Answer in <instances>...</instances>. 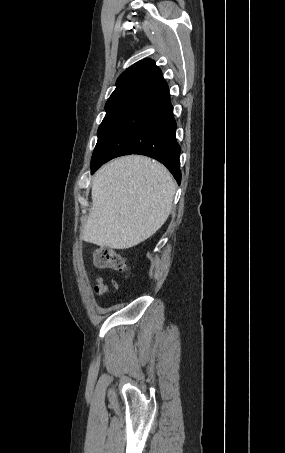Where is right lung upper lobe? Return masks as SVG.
Here are the masks:
<instances>
[{"label":"right lung upper lobe","instance_id":"cb5924a9","mask_svg":"<svg viewBox=\"0 0 285 453\" xmlns=\"http://www.w3.org/2000/svg\"><path fill=\"white\" fill-rule=\"evenodd\" d=\"M162 72L152 59H144L130 66L117 79L116 89L108 101L128 98L150 80L161 75Z\"/></svg>","mask_w":285,"mask_h":453}]
</instances>
